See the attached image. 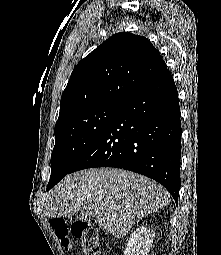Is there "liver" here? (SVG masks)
<instances>
[{"mask_svg": "<svg viewBox=\"0 0 221 255\" xmlns=\"http://www.w3.org/2000/svg\"><path fill=\"white\" fill-rule=\"evenodd\" d=\"M170 203L168 192L139 174L114 168H92L69 174L46 197L49 218L71 217L89 210L99 225L124 238L144 216Z\"/></svg>", "mask_w": 221, "mask_h": 255, "instance_id": "1", "label": "liver"}]
</instances>
